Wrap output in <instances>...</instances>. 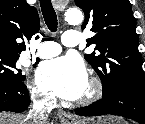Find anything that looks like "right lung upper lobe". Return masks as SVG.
Wrapping results in <instances>:
<instances>
[{
	"label": "right lung upper lobe",
	"mask_w": 145,
	"mask_h": 124,
	"mask_svg": "<svg viewBox=\"0 0 145 124\" xmlns=\"http://www.w3.org/2000/svg\"><path fill=\"white\" fill-rule=\"evenodd\" d=\"M40 28L35 7L25 0H0V52L19 55Z\"/></svg>",
	"instance_id": "obj_1"
}]
</instances>
